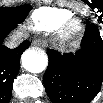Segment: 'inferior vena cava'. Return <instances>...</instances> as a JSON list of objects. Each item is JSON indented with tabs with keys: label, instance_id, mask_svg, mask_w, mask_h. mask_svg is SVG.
Wrapping results in <instances>:
<instances>
[{
	"label": "inferior vena cava",
	"instance_id": "obj_1",
	"mask_svg": "<svg viewBox=\"0 0 103 103\" xmlns=\"http://www.w3.org/2000/svg\"><path fill=\"white\" fill-rule=\"evenodd\" d=\"M22 40V38L21 39H19V38H14L13 40H11L10 42H8L7 44H6V46L7 47H9V48H15L18 44H19V42Z\"/></svg>",
	"mask_w": 103,
	"mask_h": 103
}]
</instances>
